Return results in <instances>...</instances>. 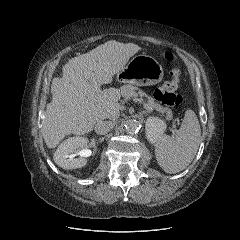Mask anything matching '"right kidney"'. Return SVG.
<instances>
[{"label": "right kidney", "instance_id": "obj_1", "mask_svg": "<svg viewBox=\"0 0 240 240\" xmlns=\"http://www.w3.org/2000/svg\"><path fill=\"white\" fill-rule=\"evenodd\" d=\"M88 139L85 137H70L63 141L54 153L55 163L63 169H76L81 168L87 164V159L91 153L88 149H85L88 145ZM78 148H82L81 156L73 158L72 154Z\"/></svg>", "mask_w": 240, "mask_h": 240}]
</instances>
